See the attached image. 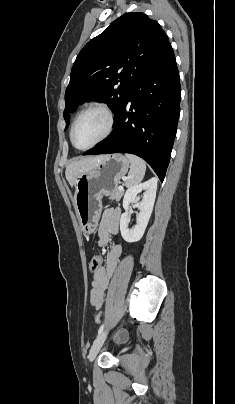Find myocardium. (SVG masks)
I'll return each instance as SVG.
<instances>
[{"mask_svg": "<svg viewBox=\"0 0 235 404\" xmlns=\"http://www.w3.org/2000/svg\"><path fill=\"white\" fill-rule=\"evenodd\" d=\"M90 111L103 112L106 115V118H107V126H106V130H105L104 134L97 141H95L94 143H92L91 145H89L87 147L81 148V147L76 146V144L74 143L73 134H74L75 126H76L78 120L84 114H86L87 112H90ZM114 121H115L114 113L111 110V108L108 107L107 105H105V104H92V105L86 107L85 109H83L82 111H80L77 114L76 118L74 119V121L72 123L71 129H70V141H71L72 145L76 149L81 150V151H85V150H89V149L93 148L94 146H96L97 144L101 143L102 141H104L106 138L109 137V135L112 133L113 128H114Z\"/></svg>", "mask_w": 235, "mask_h": 404, "instance_id": "f54148a6", "label": "myocardium"}]
</instances>
